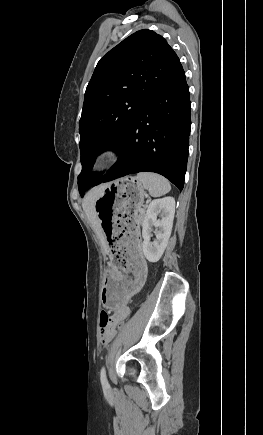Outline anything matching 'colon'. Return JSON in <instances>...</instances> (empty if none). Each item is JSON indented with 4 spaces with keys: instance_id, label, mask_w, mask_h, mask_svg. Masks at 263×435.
Masks as SVG:
<instances>
[{
    "instance_id": "1",
    "label": "colon",
    "mask_w": 263,
    "mask_h": 435,
    "mask_svg": "<svg viewBox=\"0 0 263 435\" xmlns=\"http://www.w3.org/2000/svg\"><path fill=\"white\" fill-rule=\"evenodd\" d=\"M107 321H113L109 312L106 310H102L100 313V327H101V340L103 343H108L111 341L114 335H111L108 330L105 328V323ZM125 321H120V323L116 324V329H124Z\"/></svg>"
}]
</instances>
